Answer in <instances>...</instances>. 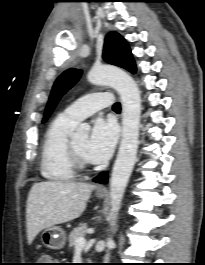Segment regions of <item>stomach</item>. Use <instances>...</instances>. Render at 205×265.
<instances>
[{
  "mask_svg": "<svg viewBox=\"0 0 205 265\" xmlns=\"http://www.w3.org/2000/svg\"><path fill=\"white\" fill-rule=\"evenodd\" d=\"M98 198H103V193H96ZM44 245L50 249H62L66 242V234L60 227L47 228L42 234Z\"/></svg>",
  "mask_w": 205,
  "mask_h": 265,
  "instance_id": "obj_1",
  "label": "stomach"
}]
</instances>
